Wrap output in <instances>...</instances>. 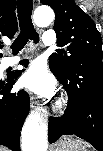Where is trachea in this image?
<instances>
[{
	"label": "trachea",
	"mask_w": 103,
	"mask_h": 151,
	"mask_svg": "<svg viewBox=\"0 0 103 151\" xmlns=\"http://www.w3.org/2000/svg\"><path fill=\"white\" fill-rule=\"evenodd\" d=\"M32 10V0H17V11L21 32L11 46L13 53H18L29 39L33 40L35 43L39 41V35L35 31L31 19Z\"/></svg>",
	"instance_id": "obj_1"
}]
</instances>
